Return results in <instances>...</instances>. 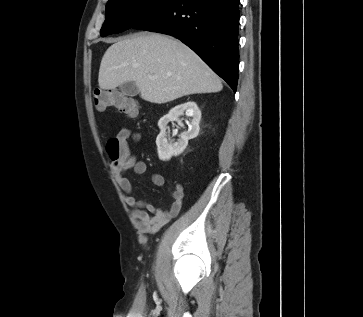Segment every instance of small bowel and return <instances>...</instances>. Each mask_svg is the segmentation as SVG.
<instances>
[{
    "mask_svg": "<svg viewBox=\"0 0 363 317\" xmlns=\"http://www.w3.org/2000/svg\"><path fill=\"white\" fill-rule=\"evenodd\" d=\"M118 137L123 144L124 150L121 160L112 163V169L119 186L124 192V200L132 208L131 215L140 230L157 232L179 214L184 198L183 187L181 184H177L171 191L173 202L169 208L156 207L151 201L137 199L134 196L133 186L126 177V172L129 169H133L139 175L147 172L146 163L136 159L128 142L130 137L135 142L138 141L139 135L124 128L119 131ZM151 181L155 186H162L165 179L163 175L153 173Z\"/></svg>",
    "mask_w": 363,
    "mask_h": 317,
    "instance_id": "obj_1",
    "label": "small bowel"
}]
</instances>
